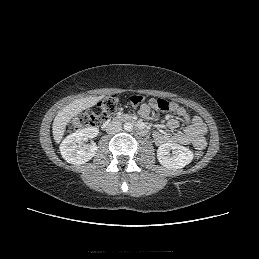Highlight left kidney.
<instances>
[{
    "mask_svg": "<svg viewBox=\"0 0 259 259\" xmlns=\"http://www.w3.org/2000/svg\"><path fill=\"white\" fill-rule=\"evenodd\" d=\"M170 151H172V155ZM193 157L191 150L175 143L161 144L157 150L158 161L168 169H181L191 163Z\"/></svg>",
    "mask_w": 259,
    "mask_h": 259,
    "instance_id": "obj_1",
    "label": "left kidney"
}]
</instances>
